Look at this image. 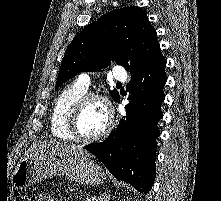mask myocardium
I'll use <instances>...</instances> for the list:
<instances>
[{
  "label": "myocardium",
  "mask_w": 221,
  "mask_h": 201,
  "mask_svg": "<svg viewBox=\"0 0 221 201\" xmlns=\"http://www.w3.org/2000/svg\"><path fill=\"white\" fill-rule=\"evenodd\" d=\"M93 100L100 101L104 104L108 116V122L104 130H102L99 134L95 136H83L78 129V123L81 116L82 111L84 110L85 106ZM115 123V115H114V108L110 101V99L97 92H86L83 94L77 102L74 104V106L71 109L69 121H68V129L72 137L80 142L83 143H91L98 140H101L105 136H107L110 131L113 129Z\"/></svg>",
  "instance_id": "obj_1"
}]
</instances>
